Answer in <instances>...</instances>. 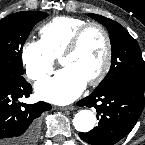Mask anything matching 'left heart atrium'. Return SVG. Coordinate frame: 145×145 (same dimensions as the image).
<instances>
[{"label":"left heart atrium","instance_id":"39dd6f15","mask_svg":"<svg viewBox=\"0 0 145 145\" xmlns=\"http://www.w3.org/2000/svg\"><path fill=\"white\" fill-rule=\"evenodd\" d=\"M86 79L72 67H63L53 77L40 80L35 85L37 95L48 102L68 104L86 87Z\"/></svg>","mask_w":145,"mask_h":145}]
</instances>
